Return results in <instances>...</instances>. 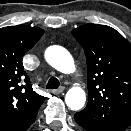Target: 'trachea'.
I'll return each mask as SVG.
<instances>
[{"instance_id":"1","label":"trachea","mask_w":131,"mask_h":131,"mask_svg":"<svg viewBox=\"0 0 131 131\" xmlns=\"http://www.w3.org/2000/svg\"><path fill=\"white\" fill-rule=\"evenodd\" d=\"M60 85V82L57 78L55 77H52L49 79L47 85H46V88L47 89H57Z\"/></svg>"}]
</instances>
